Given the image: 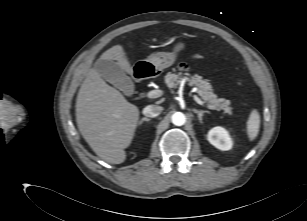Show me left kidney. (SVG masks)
Listing matches in <instances>:
<instances>
[{"mask_svg":"<svg viewBox=\"0 0 307 221\" xmlns=\"http://www.w3.org/2000/svg\"><path fill=\"white\" fill-rule=\"evenodd\" d=\"M208 141L216 148L226 151L232 148V140L228 132L222 127L212 128L207 135Z\"/></svg>","mask_w":307,"mask_h":221,"instance_id":"1","label":"left kidney"}]
</instances>
